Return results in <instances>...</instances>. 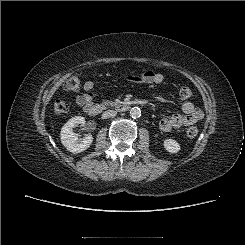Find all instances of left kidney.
Segmentation results:
<instances>
[{
	"instance_id": "obj_1",
	"label": "left kidney",
	"mask_w": 245,
	"mask_h": 245,
	"mask_svg": "<svg viewBox=\"0 0 245 245\" xmlns=\"http://www.w3.org/2000/svg\"><path fill=\"white\" fill-rule=\"evenodd\" d=\"M163 145L166 151L172 154L178 153L181 149L179 143L173 139H165Z\"/></svg>"
}]
</instances>
